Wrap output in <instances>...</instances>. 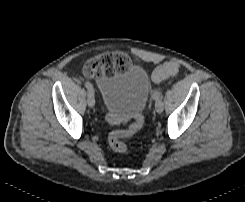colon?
I'll return each mask as SVG.
<instances>
[{
  "instance_id": "obj_1",
  "label": "colon",
  "mask_w": 245,
  "mask_h": 202,
  "mask_svg": "<svg viewBox=\"0 0 245 202\" xmlns=\"http://www.w3.org/2000/svg\"><path fill=\"white\" fill-rule=\"evenodd\" d=\"M130 59L123 53H106L94 56L85 64V72L89 77L99 75L112 76L115 73H123L129 68ZM180 70V63L176 60L168 61L158 67L154 75L160 81H163L170 75H175ZM132 124L124 129H116L108 136L109 147L119 153L127 151L126 140L133 136L144 124V117L141 113L132 114ZM109 122H114V118L107 116Z\"/></svg>"
}]
</instances>
